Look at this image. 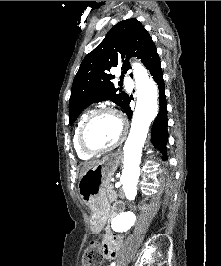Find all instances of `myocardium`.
<instances>
[{
    "instance_id": "f54148a6",
    "label": "myocardium",
    "mask_w": 221,
    "mask_h": 266,
    "mask_svg": "<svg viewBox=\"0 0 221 266\" xmlns=\"http://www.w3.org/2000/svg\"><path fill=\"white\" fill-rule=\"evenodd\" d=\"M104 113H108V114H112L114 116H116L120 122L121 125V133L119 135V137L116 139V141H114L112 144L105 146V147H93L91 146L88 141H87V131L89 129V126L91 125L92 121L100 114H104ZM128 132V128H127V124L125 122V120L113 109L111 108H98L92 112H90L87 117L85 118V120L83 121L80 131H79V136H78V141H79V145L81 147V149L91 155H97V154H101V153H105L107 151H110L114 148H116L117 146H119L124 139L126 138Z\"/></svg>"
}]
</instances>
